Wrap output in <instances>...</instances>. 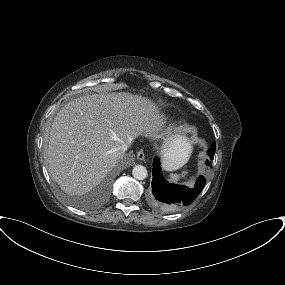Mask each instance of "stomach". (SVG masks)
<instances>
[{"label": "stomach", "mask_w": 285, "mask_h": 285, "mask_svg": "<svg viewBox=\"0 0 285 285\" xmlns=\"http://www.w3.org/2000/svg\"><path fill=\"white\" fill-rule=\"evenodd\" d=\"M177 140L181 141V145L183 146L184 149V155L181 157H165L164 158V166L167 170H174L179 167H181L183 164H185L188 160L189 154H190V146H185L184 145V138H177Z\"/></svg>", "instance_id": "0dacf381"}]
</instances>
